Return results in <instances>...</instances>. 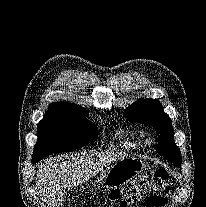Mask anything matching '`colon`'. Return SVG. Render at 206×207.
<instances>
[{"mask_svg":"<svg viewBox=\"0 0 206 207\" xmlns=\"http://www.w3.org/2000/svg\"><path fill=\"white\" fill-rule=\"evenodd\" d=\"M170 191L169 174L163 168L150 170L138 175L129 185L125 193L114 191L111 193L113 200L119 202L120 207H126L140 197L147 195L149 207L165 202L164 195Z\"/></svg>","mask_w":206,"mask_h":207,"instance_id":"colon-1","label":"colon"}]
</instances>
